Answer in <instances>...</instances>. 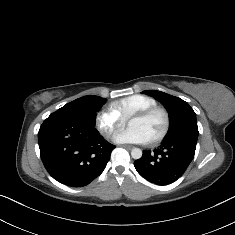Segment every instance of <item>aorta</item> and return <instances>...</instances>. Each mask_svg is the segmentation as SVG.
<instances>
[{
    "label": "aorta",
    "instance_id": "obj_1",
    "mask_svg": "<svg viewBox=\"0 0 235 235\" xmlns=\"http://www.w3.org/2000/svg\"><path fill=\"white\" fill-rule=\"evenodd\" d=\"M131 156L133 159H140L142 157V150L139 148H133L131 150Z\"/></svg>",
    "mask_w": 235,
    "mask_h": 235
}]
</instances>
